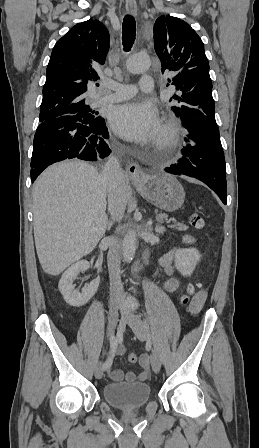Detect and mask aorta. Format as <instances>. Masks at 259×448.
I'll return each mask as SVG.
<instances>
[{
  "label": "aorta",
  "mask_w": 259,
  "mask_h": 448,
  "mask_svg": "<svg viewBox=\"0 0 259 448\" xmlns=\"http://www.w3.org/2000/svg\"><path fill=\"white\" fill-rule=\"evenodd\" d=\"M150 67V59L141 54H135L129 57L127 60V69L133 74H139L145 72ZM137 247V235L134 229L129 230L122 244V255L126 262H130L136 252Z\"/></svg>",
  "instance_id": "aorta-1"
}]
</instances>
